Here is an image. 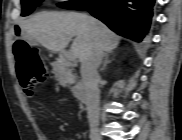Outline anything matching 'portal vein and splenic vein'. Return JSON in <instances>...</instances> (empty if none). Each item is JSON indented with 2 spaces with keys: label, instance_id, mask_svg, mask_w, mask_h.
<instances>
[{
  "label": "portal vein and splenic vein",
  "instance_id": "1",
  "mask_svg": "<svg viewBox=\"0 0 182 140\" xmlns=\"http://www.w3.org/2000/svg\"><path fill=\"white\" fill-rule=\"evenodd\" d=\"M65 59L67 61H75L76 56L74 55V53L72 51H68V52L65 53Z\"/></svg>",
  "mask_w": 182,
  "mask_h": 140
}]
</instances>
